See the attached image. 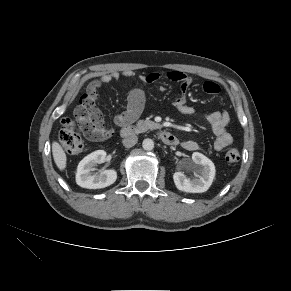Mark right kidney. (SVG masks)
Segmentation results:
<instances>
[{"instance_id":"ca27d5eb","label":"right kidney","mask_w":291,"mask_h":291,"mask_svg":"<svg viewBox=\"0 0 291 291\" xmlns=\"http://www.w3.org/2000/svg\"><path fill=\"white\" fill-rule=\"evenodd\" d=\"M106 152L97 150L84 157L77 167L76 183L88 189L105 188L113 184L117 179V172L114 169L105 170L100 174H92L96 164L105 162Z\"/></svg>"}]
</instances>
